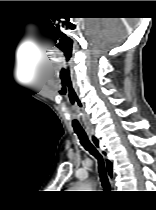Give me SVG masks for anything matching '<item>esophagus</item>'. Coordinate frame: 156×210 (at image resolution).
Here are the masks:
<instances>
[{"instance_id": "1", "label": "esophagus", "mask_w": 156, "mask_h": 210, "mask_svg": "<svg viewBox=\"0 0 156 210\" xmlns=\"http://www.w3.org/2000/svg\"><path fill=\"white\" fill-rule=\"evenodd\" d=\"M88 134H89V138H90L92 144L100 152V154L102 155V157L104 159V163H105V168H106V172H107V175H108V179H109L110 184L112 185L113 184V180H114V172H113L112 160L108 157L107 151L105 150V148L101 144V142L98 139V137L96 136V134L93 133V132H89Z\"/></svg>"}]
</instances>
